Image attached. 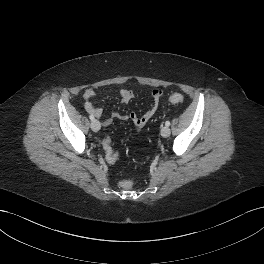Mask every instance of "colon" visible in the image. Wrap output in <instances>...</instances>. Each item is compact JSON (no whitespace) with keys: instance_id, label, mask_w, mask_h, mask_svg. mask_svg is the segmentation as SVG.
I'll list each match as a JSON object with an SVG mask.
<instances>
[{"instance_id":"5ec220e1","label":"colon","mask_w":264,"mask_h":264,"mask_svg":"<svg viewBox=\"0 0 264 264\" xmlns=\"http://www.w3.org/2000/svg\"><path fill=\"white\" fill-rule=\"evenodd\" d=\"M169 101L175 104H180L184 101V97L180 93H172L169 96ZM103 148L105 151V155H108L109 157H115L116 153L112 150V145H111V139L110 138H105L103 141ZM133 186V182L131 180H124L121 182V187L123 189H131Z\"/></svg>"}]
</instances>
